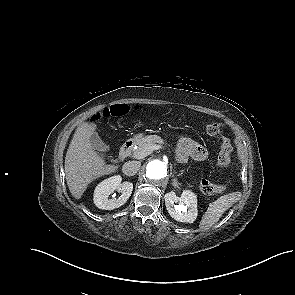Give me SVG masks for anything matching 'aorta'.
Wrapping results in <instances>:
<instances>
[{
    "mask_svg": "<svg viewBox=\"0 0 295 295\" xmlns=\"http://www.w3.org/2000/svg\"><path fill=\"white\" fill-rule=\"evenodd\" d=\"M146 179L151 183H158L165 180L168 176V167L165 162L154 159L146 166Z\"/></svg>",
    "mask_w": 295,
    "mask_h": 295,
    "instance_id": "obj_1",
    "label": "aorta"
}]
</instances>
